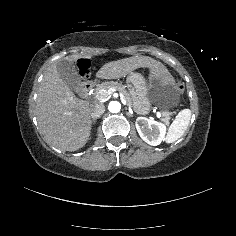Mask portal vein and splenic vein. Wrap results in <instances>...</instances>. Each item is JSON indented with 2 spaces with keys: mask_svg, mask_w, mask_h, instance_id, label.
<instances>
[{
  "mask_svg": "<svg viewBox=\"0 0 236 236\" xmlns=\"http://www.w3.org/2000/svg\"><path fill=\"white\" fill-rule=\"evenodd\" d=\"M113 91L112 88L106 90V89H100L98 92H97V97L100 99V100H104L107 98L108 95L111 94V92ZM120 99H121V102L126 105V100L124 98V95L120 94ZM157 117L160 118L161 117V113L160 111H157Z\"/></svg>",
  "mask_w": 236,
  "mask_h": 236,
  "instance_id": "portal-vein-and-splenic-vein-1",
  "label": "portal vein and splenic vein"
}]
</instances>
